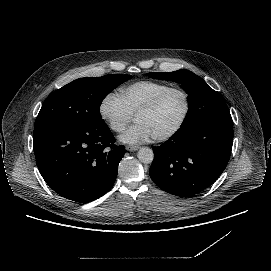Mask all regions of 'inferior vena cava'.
<instances>
[{
  "label": "inferior vena cava",
  "instance_id": "obj_1",
  "mask_svg": "<svg viewBox=\"0 0 271 271\" xmlns=\"http://www.w3.org/2000/svg\"><path fill=\"white\" fill-rule=\"evenodd\" d=\"M123 130V127L121 126V127H119V128H117V131H122Z\"/></svg>",
  "mask_w": 271,
  "mask_h": 271
}]
</instances>
